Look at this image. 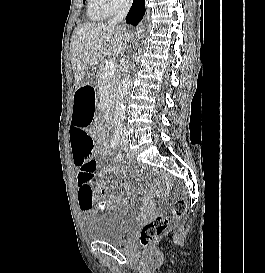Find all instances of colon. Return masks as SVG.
I'll use <instances>...</instances> for the list:
<instances>
[{"mask_svg": "<svg viewBox=\"0 0 265 273\" xmlns=\"http://www.w3.org/2000/svg\"><path fill=\"white\" fill-rule=\"evenodd\" d=\"M186 200H177L172 208V215L176 218L181 217L186 211ZM170 226V219L167 216L161 215L156 219L146 223L139 235V242L142 246L146 247L155 242L163 233L167 231Z\"/></svg>", "mask_w": 265, "mask_h": 273, "instance_id": "1", "label": "colon"}]
</instances>
